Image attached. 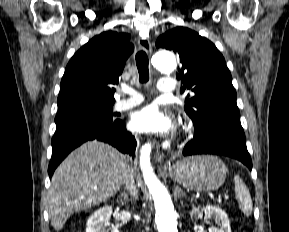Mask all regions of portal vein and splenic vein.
<instances>
[{
  "instance_id": "obj_1",
  "label": "portal vein and splenic vein",
  "mask_w": 289,
  "mask_h": 232,
  "mask_svg": "<svg viewBox=\"0 0 289 232\" xmlns=\"http://www.w3.org/2000/svg\"><path fill=\"white\" fill-rule=\"evenodd\" d=\"M223 199H224V200H228V199H229V196H228L227 194H225V195L223 196Z\"/></svg>"
}]
</instances>
